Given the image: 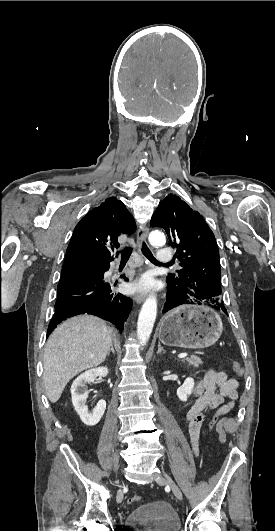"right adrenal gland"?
<instances>
[{
    "label": "right adrenal gland",
    "mask_w": 275,
    "mask_h": 531,
    "mask_svg": "<svg viewBox=\"0 0 275 531\" xmlns=\"http://www.w3.org/2000/svg\"><path fill=\"white\" fill-rule=\"evenodd\" d=\"M110 353H115L114 347H113V343H111V349H109V351L107 353L108 357H109Z\"/></svg>",
    "instance_id": "2a0ac1e0"
}]
</instances>
